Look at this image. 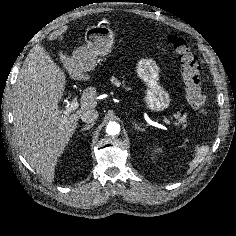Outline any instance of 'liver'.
Returning <instances> with one entry per match:
<instances>
[{"label":"liver","mask_w":236,"mask_h":236,"mask_svg":"<svg viewBox=\"0 0 236 236\" xmlns=\"http://www.w3.org/2000/svg\"><path fill=\"white\" fill-rule=\"evenodd\" d=\"M66 28L54 31L49 40L60 36ZM61 61L73 79L88 81L83 65L61 53ZM66 85L64 72L40 44L28 53L19 72L13 95L14 136L30 166L46 181L53 182L58 158L77 127L80 114L97 106L93 87L83 91L80 108L64 115L59 107Z\"/></svg>","instance_id":"liver-1"}]
</instances>
